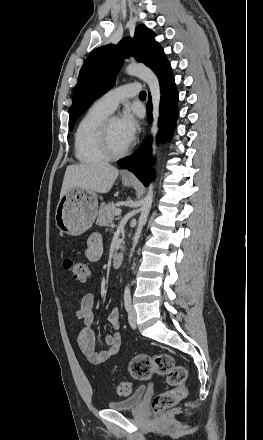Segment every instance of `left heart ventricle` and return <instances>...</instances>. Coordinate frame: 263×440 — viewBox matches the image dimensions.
Masks as SVG:
<instances>
[{
    "label": "left heart ventricle",
    "instance_id": "1",
    "mask_svg": "<svg viewBox=\"0 0 263 440\" xmlns=\"http://www.w3.org/2000/svg\"><path fill=\"white\" fill-rule=\"evenodd\" d=\"M109 142L114 151H121L129 145L121 132L117 118H114L110 121Z\"/></svg>",
    "mask_w": 263,
    "mask_h": 440
}]
</instances>
